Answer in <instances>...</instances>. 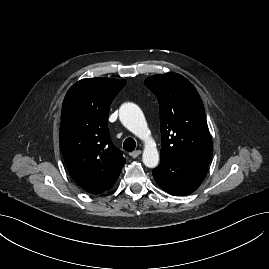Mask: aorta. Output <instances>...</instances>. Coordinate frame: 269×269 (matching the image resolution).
Here are the masks:
<instances>
[{
    "mask_svg": "<svg viewBox=\"0 0 269 269\" xmlns=\"http://www.w3.org/2000/svg\"><path fill=\"white\" fill-rule=\"evenodd\" d=\"M119 118L129 131L145 142L142 155L144 165L155 168L159 163V153L154 140L148 136L147 122L141 109L133 103H125L120 108Z\"/></svg>",
    "mask_w": 269,
    "mask_h": 269,
    "instance_id": "1",
    "label": "aorta"
}]
</instances>
